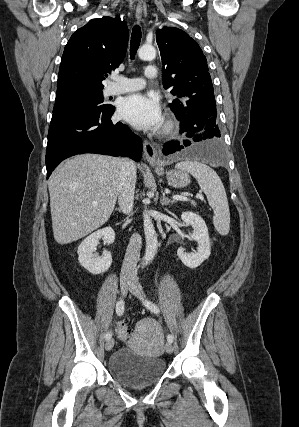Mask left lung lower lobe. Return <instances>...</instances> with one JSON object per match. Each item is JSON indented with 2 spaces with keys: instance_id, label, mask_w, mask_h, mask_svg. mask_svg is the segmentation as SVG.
<instances>
[{
  "instance_id": "1",
  "label": "left lung lower lobe",
  "mask_w": 299,
  "mask_h": 427,
  "mask_svg": "<svg viewBox=\"0 0 299 427\" xmlns=\"http://www.w3.org/2000/svg\"><path fill=\"white\" fill-rule=\"evenodd\" d=\"M211 111L207 106L185 107L181 114L180 132H186V136L191 138V141L186 140L183 145L178 142L171 141L163 146V154L169 155L174 152L185 149L188 155L202 157L215 162H224L225 156L222 151L220 137L221 134L214 128L213 119L210 116ZM206 142L195 144L202 140Z\"/></svg>"
}]
</instances>
